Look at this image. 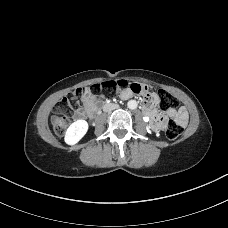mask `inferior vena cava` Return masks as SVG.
Wrapping results in <instances>:
<instances>
[{
	"instance_id": "inferior-vena-cava-1",
	"label": "inferior vena cava",
	"mask_w": 228,
	"mask_h": 228,
	"mask_svg": "<svg viewBox=\"0 0 228 228\" xmlns=\"http://www.w3.org/2000/svg\"><path fill=\"white\" fill-rule=\"evenodd\" d=\"M119 107L118 104H114V103H110V104H106L103 107V111L104 112H112L113 110L117 109Z\"/></svg>"
}]
</instances>
